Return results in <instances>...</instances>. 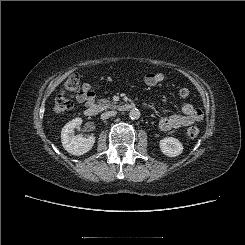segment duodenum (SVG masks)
<instances>
[{
	"instance_id": "1",
	"label": "duodenum",
	"mask_w": 245,
	"mask_h": 245,
	"mask_svg": "<svg viewBox=\"0 0 245 245\" xmlns=\"http://www.w3.org/2000/svg\"><path fill=\"white\" fill-rule=\"evenodd\" d=\"M134 107L135 105L133 103H123L119 105L118 109L121 112H126V111L133 109ZM99 110H100V107L92 102L90 104H87L84 110V114L87 117H94L99 113Z\"/></svg>"
}]
</instances>
